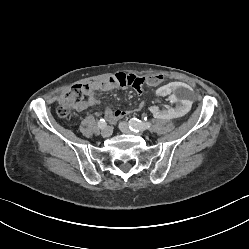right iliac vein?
<instances>
[{"mask_svg":"<svg viewBox=\"0 0 249 249\" xmlns=\"http://www.w3.org/2000/svg\"><path fill=\"white\" fill-rule=\"evenodd\" d=\"M112 132H113L112 128L110 126H107L102 130L101 135L103 137H109L112 135Z\"/></svg>","mask_w":249,"mask_h":249,"instance_id":"63e3f726","label":"right iliac vein"}]
</instances>
